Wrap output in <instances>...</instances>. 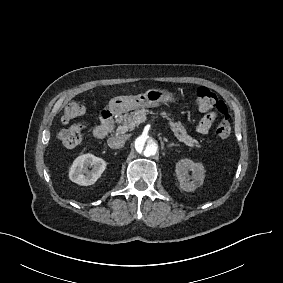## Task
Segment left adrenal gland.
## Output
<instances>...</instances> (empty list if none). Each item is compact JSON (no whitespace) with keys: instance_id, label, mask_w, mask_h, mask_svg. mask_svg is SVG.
Returning <instances> with one entry per match:
<instances>
[{"instance_id":"left-adrenal-gland-1","label":"left adrenal gland","mask_w":283,"mask_h":283,"mask_svg":"<svg viewBox=\"0 0 283 283\" xmlns=\"http://www.w3.org/2000/svg\"><path fill=\"white\" fill-rule=\"evenodd\" d=\"M180 144H175V143H170L167 145V147H172V146H179Z\"/></svg>"}]
</instances>
